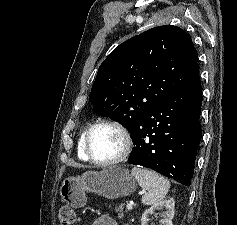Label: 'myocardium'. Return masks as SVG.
<instances>
[{"instance_id": "myocardium-1", "label": "myocardium", "mask_w": 237, "mask_h": 225, "mask_svg": "<svg viewBox=\"0 0 237 225\" xmlns=\"http://www.w3.org/2000/svg\"><path fill=\"white\" fill-rule=\"evenodd\" d=\"M99 127H110L115 129L122 138V149L121 152L114 158L109 160H100L93 156L90 149V139L93 132ZM132 150V139L131 135L128 130L121 125L120 123L113 121V120H100L92 124L89 129L86 131L85 138H84V151L87 158L94 164L101 165V166H113L123 162L131 153Z\"/></svg>"}]
</instances>
